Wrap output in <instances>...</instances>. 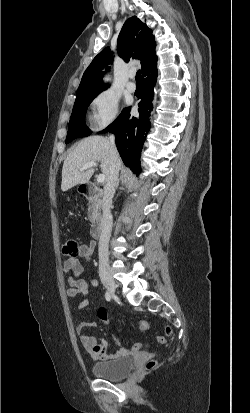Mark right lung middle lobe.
<instances>
[{
  "label": "right lung middle lobe",
  "mask_w": 250,
  "mask_h": 413,
  "mask_svg": "<svg viewBox=\"0 0 250 413\" xmlns=\"http://www.w3.org/2000/svg\"><path fill=\"white\" fill-rule=\"evenodd\" d=\"M100 92L101 91L76 96L75 104L68 126L66 143H69L72 140L79 137L88 136L92 133L91 130L88 129V127L85 124V114L89 104Z\"/></svg>",
  "instance_id": "right-lung-middle-lobe-1"
}]
</instances>
